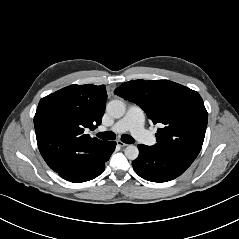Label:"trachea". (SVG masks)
Here are the masks:
<instances>
[{
	"label": "trachea",
	"instance_id": "3493384b",
	"mask_svg": "<svg viewBox=\"0 0 239 239\" xmlns=\"http://www.w3.org/2000/svg\"><path fill=\"white\" fill-rule=\"evenodd\" d=\"M97 137L103 140H114L115 134L113 132L106 131L98 133ZM121 140L127 144H133L135 142V140L130 135L126 134L121 136Z\"/></svg>",
	"mask_w": 239,
	"mask_h": 239
}]
</instances>
